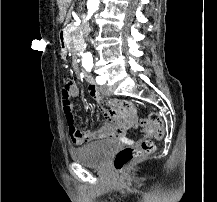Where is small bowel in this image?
<instances>
[{
    "instance_id": "1",
    "label": "small bowel",
    "mask_w": 217,
    "mask_h": 202,
    "mask_svg": "<svg viewBox=\"0 0 217 202\" xmlns=\"http://www.w3.org/2000/svg\"><path fill=\"white\" fill-rule=\"evenodd\" d=\"M88 92L99 103V108L110 122L96 130L75 129L74 134L70 135L75 147L103 139H115L125 145H134L135 141L127 137V131L139 126V121L135 119L137 118L136 104H133V101H108L107 105L112 108L106 111L101 105L102 94L95 83L89 82ZM70 96L72 98L80 96V88L75 82L72 83ZM142 129L145 137L154 136L153 128L142 127Z\"/></svg>"
}]
</instances>
